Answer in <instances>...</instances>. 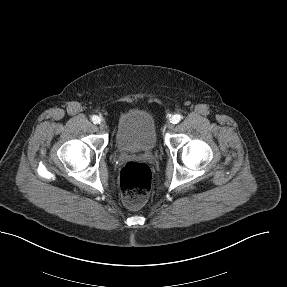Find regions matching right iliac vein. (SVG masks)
I'll list each match as a JSON object with an SVG mask.
<instances>
[{"mask_svg": "<svg viewBox=\"0 0 287 287\" xmlns=\"http://www.w3.org/2000/svg\"><path fill=\"white\" fill-rule=\"evenodd\" d=\"M99 126L101 129H105L106 128V123L104 121H100Z\"/></svg>", "mask_w": 287, "mask_h": 287, "instance_id": "obj_1", "label": "right iliac vein"}]
</instances>
